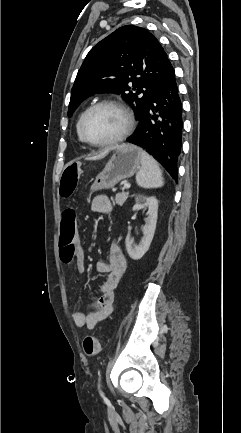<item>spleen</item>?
<instances>
[{
  "label": "spleen",
  "instance_id": "3e777b00",
  "mask_svg": "<svg viewBox=\"0 0 241 433\" xmlns=\"http://www.w3.org/2000/svg\"><path fill=\"white\" fill-rule=\"evenodd\" d=\"M136 182L145 189L160 188L164 185L158 163L145 151H141V168L136 174Z\"/></svg>",
  "mask_w": 241,
  "mask_h": 433
}]
</instances>
